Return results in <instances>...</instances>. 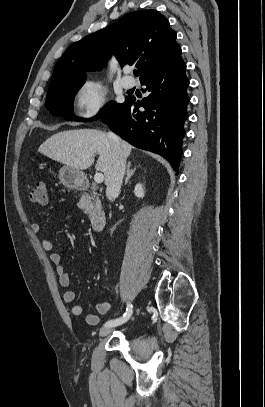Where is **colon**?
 Masks as SVG:
<instances>
[{"label":"colon","instance_id":"obj_1","mask_svg":"<svg viewBox=\"0 0 265 407\" xmlns=\"http://www.w3.org/2000/svg\"><path fill=\"white\" fill-rule=\"evenodd\" d=\"M30 199L35 203L45 204L48 200L47 184L43 180L34 183L30 191Z\"/></svg>","mask_w":265,"mask_h":407}]
</instances>
